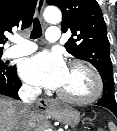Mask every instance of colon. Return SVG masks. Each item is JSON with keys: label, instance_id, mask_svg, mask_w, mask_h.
<instances>
[{"label": "colon", "instance_id": "obj_1", "mask_svg": "<svg viewBox=\"0 0 117 131\" xmlns=\"http://www.w3.org/2000/svg\"><path fill=\"white\" fill-rule=\"evenodd\" d=\"M98 131H106L105 129H103V128H100V129H98Z\"/></svg>", "mask_w": 117, "mask_h": 131}]
</instances>
